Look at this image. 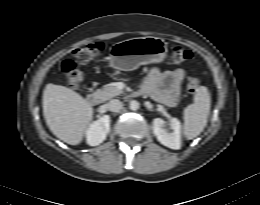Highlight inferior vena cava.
Instances as JSON below:
<instances>
[{
	"label": "inferior vena cava",
	"mask_w": 260,
	"mask_h": 205,
	"mask_svg": "<svg viewBox=\"0 0 260 205\" xmlns=\"http://www.w3.org/2000/svg\"><path fill=\"white\" fill-rule=\"evenodd\" d=\"M123 106V103L118 99H113L107 103V108L112 112L119 111Z\"/></svg>",
	"instance_id": "602c4592"
}]
</instances>
